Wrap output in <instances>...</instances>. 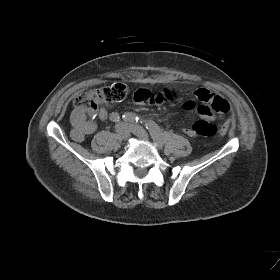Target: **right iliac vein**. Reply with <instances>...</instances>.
<instances>
[{"label":"right iliac vein","mask_w":280,"mask_h":280,"mask_svg":"<svg viewBox=\"0 0 280 280\" xmlns=\"http://www.w3.org/2000/svg\"><path fill=\"white\" fill-rule=\"evenodd\" d=\"M117 132L122 139H128L130 136V129L126 124H120L117 128Z\"/></svg>","instance_id":"obj_1"}]
</instances>
